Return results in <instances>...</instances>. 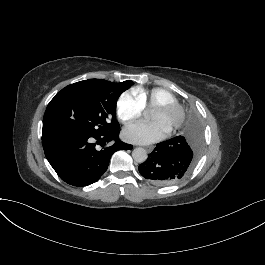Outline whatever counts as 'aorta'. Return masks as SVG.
<instances>
[{
    "mask_svg": "<svg viewBox=\"0 0 265 265\" xmlns=\"http://www.w3.org/2000/svg\"><path fill=\"white\" fill-rule=\"evenodd\" d=\"M132 157H133L134 161H136L138 163H143L147 159V152L144 148L137 147L133 150Z\"/></svg>",
    "mask_w": 265,
    "mask_h": 265,
    "instance_id": "762f6f07",
    "label": "aorta"
}]
</instances>
